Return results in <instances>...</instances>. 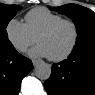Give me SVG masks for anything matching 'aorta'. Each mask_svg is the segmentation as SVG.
Here are the masks:
<instances>
[{
  "label": "aorta",
  "mask_w": 95,
  "mask_h": 95,
  "mask_svg": "<svg viewBox=\"0 0 95 95\" xmlns=\"http://www.w3.org/2000/svg\"><path fill=\"white\" fill-rule=\"evenodd\" d=\"M35 76L41 80H47L51 75V66L45 62H41L35 66Z\"/></svg>",
  "instance_id": "762f6f07"
}]
</instances>
